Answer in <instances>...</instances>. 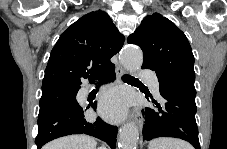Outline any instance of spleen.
Returning <instances> with one entry per match:
<instances>
[{
    "instance_id": "spleen-1",
    "label": "spleen",
    "mask_w": 227,
    "mask_h": 149,
    "mask_svg": "<svg viewBox=\"0 0 227 149\" xmlns=\"http://www.w3.org/2000/svg\"><path fill=\"white\" fill-rule=\"evenodd\" d=\"M148 149H192V147L179 139L161 137L152 140Z\"/></svg>"
}]
</instances>
